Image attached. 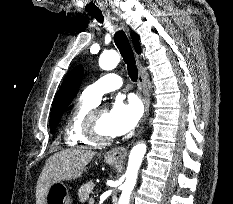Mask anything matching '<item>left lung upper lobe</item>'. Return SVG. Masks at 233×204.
Listing matches in <instances>:
<instances>
[{
	"label": "left lung upper lobe",
	"mask_w": 233,
	"mask_h": 204,
	"mask_svg": "<svg viewBox=\"0 0 233 204\" xmlns=\"http://www.w3.org/2000/svg\"><path fill=\"white\" fill-rule=\"evenodd\" d=\"M83 78L82 65L76 66L63 81L50 113V131L54 133L64 111L75 97Z\"/></svg>",
	"instance_id": "obj_1"
}]
</instances>
